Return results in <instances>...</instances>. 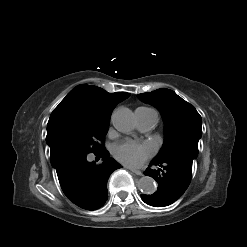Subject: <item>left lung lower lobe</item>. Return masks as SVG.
I'll list each match as a JSON object with an SVG mask.
<instances>
[{
  "label": "left lung lower lobe",
  "instance_id": "0a47b994",
  "mask_svg": "<svg viewBox=\"0 0 247 247\" xmlns=\"http://www.w3.org/2000/svg\"><path fill=\"white\" fill-rule=\"evenodd\" d=\"M193 160L184 156H173L163 160L154 159L147 168L145 175L153 177L158 183L157 191L152 195L141 194V199L154 207L168 206L175 202L187 189L191 180Z\"/></svg>",
  "mask_w": 247,
  "mask_h": 247
}]
</instances>
